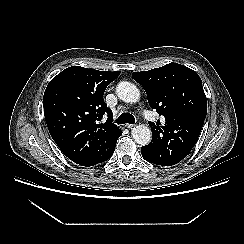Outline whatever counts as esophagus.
I'll use <instances>...</instances> for the list:
<instances>
[{"label": "esophagus", "instance_id": "obj_1", "mask_svg": "<svg viewBox=\"0 0 244 244\" xmlns=\"http://www.w3.org/2000/svg\"><path fill=\"white\" fill-rule=\"evenodd\" d=\"M128 129H132L134 126H135V124H126L125 125Z\"/></svg>", "mask_w": 244, "mask_h": 244}]
</instances>
